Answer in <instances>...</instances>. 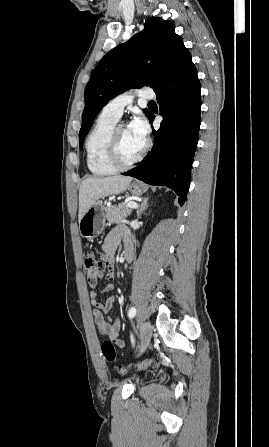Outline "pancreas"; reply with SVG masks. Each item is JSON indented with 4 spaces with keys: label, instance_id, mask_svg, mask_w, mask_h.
<instances>
[{
    "label": "pancreas",
    "instance_id": "1",
    "mask_svg": "<svg viewBox=\"0 0 269 447\" xmlns=\"http://www.w3.org/2000/svg\"><path fill=\"white\" fill-rule=\"evenodd\" d=\"M104 210L106 212V218L110 224H118L119 220L127 218L132 212L131 208H128V206H123V208L122 206H107Z\"/></svg>",
    "mask_w": 269,
    "mask_h": 447
}]
</instances>
